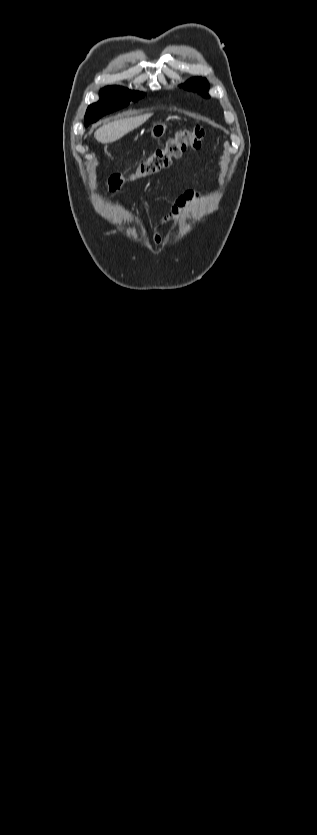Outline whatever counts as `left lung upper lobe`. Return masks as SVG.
<instances>
[{"mask_svg": "<svg viewBox=\"0 0 317 835\" xmlns=\"http://www.w3.org/2000/svg\"><path fill=\"white\" fill-rule=\"evenodd\" d=\"M183 88L188 89V90H192V91H197L202 96L209 97V95L207 94L208 89H209V84H208V82L205 78L197 77V78L190 79L188 82H186L183 85Z\"/></svg>", "mask_w": 317, "mask_h": 835, "instance_id": "left-lung-upper-lobe-1", "label": "left lung upper lobe"}]
</instances>
